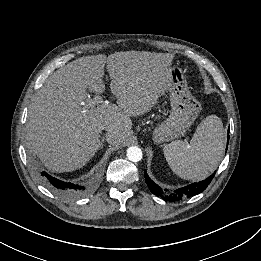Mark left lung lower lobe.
I'll use <instances>...</instances> for the list:
<instances>
[{"mask_svg": "<svg viewBox=\"0 0 261 261\" xmlns=\"http://www.w3.org/2000/svg\"><path fill=\"white\" fill-rule=\"evenodd\" d=\"M228 133H229V131H228ZM228 140H229V136H228ZM214 175H215V173H213L212 175H210L207 179H205L203 181H200L198 183H192L183 188L177 189L173 193H170L167 195L166 193L163 192L161 187H159L155 182H153L149 178L146 171L144 173V177H145L147 186L149 187L150 191L154 195L159 196L162 199H164L166 201H170V202H175V201H179L182 199H186V198L192 197L194 195H197V194L203 192L207 188V186L210 184ZM165 191H167V190H165Z\"/></svg>", "mask_w": 261, "mask_h": 261, "instance_id": "left-lung-lower-lobe-1", "label": "left lung lower lobe"}]
</instances>
